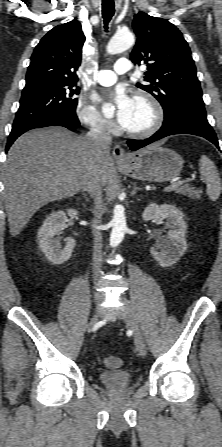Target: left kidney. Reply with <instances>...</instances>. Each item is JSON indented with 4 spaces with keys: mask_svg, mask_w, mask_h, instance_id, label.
Wrapping results in <instances>:
<instances>
[{
    "mask_svg": "<svg viewBox=\"0 0 222 447\" xmlns=\"http://www.w3.org/2000/svg\"><path fill=\"white\" fill-rule=\"evenodd\" d=\"M142 218L144 221L153 222L167 220L168 228H170L167 237L160 238L156 245L151 247L150 252L162 267L175 264L187 250L185 239L187 225L182 212L173 205L151 203L145 208Z\"/></svg>",
    "mask_w": 222,
    "mask_h": 447,
    "instance_id": "obj_1",
    "label": "left kidney"
}]
</instances>
